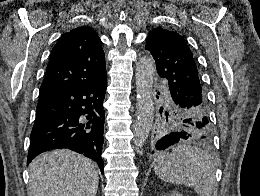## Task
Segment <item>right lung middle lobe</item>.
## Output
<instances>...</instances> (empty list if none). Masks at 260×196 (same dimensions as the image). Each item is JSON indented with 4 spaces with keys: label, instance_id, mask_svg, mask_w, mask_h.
Masks as SVG:
<instances>
[{
    "label": "right lung middle lobe",
    "instance_id": "right-lung-middle-lobe-1",
    "mask_svg": "<svg viewBox=\"0 0 260 196\" xmlns=\"http://www.w3.org/2000/svg\"><path fill=\"white\" fill-rule=\"evenodd\" d=\"M37 118H40V117H39V116H36V119H37Z\"/></svg>",
    "mask_w": 260,
    "mask_h": 196
}]
</instances>
